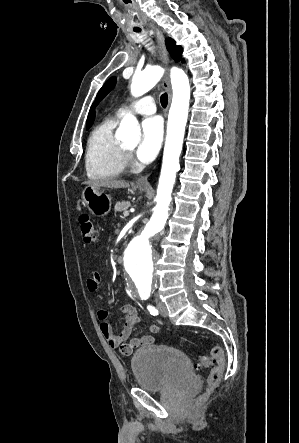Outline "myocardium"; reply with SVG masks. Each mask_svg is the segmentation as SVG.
Instances as JSON below:
<instances>
[{"label":"myocardium","mask_w":299,"mask_h":443,"mask_svg":"<svg viewBox=\"0 0 299 443\" xmlns=\"http://www.w3.org/2000/svg\"><path fill=\"white\" fill-rule=\"evenodd\" d=\"M123 151H124L125 156H129L131 154V151L124 148V147H123Z\"/></svg>","instance_id":"myocardium-1"}]
</instances>
